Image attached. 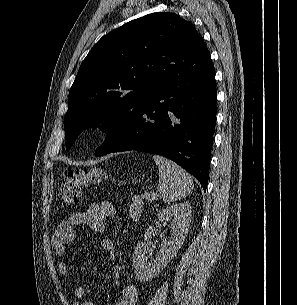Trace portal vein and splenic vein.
I'll return each instance as SVG.
<instances>
[{
  "instance_id": "18ae733b",
  "label": "portal vein and splenic vein",
  "mask_w": 297,
  "mask_h": 305,
  "mask_svg": "<svg viewBox=\"0 0 297 305\" xmlns=\"http://www.w3.org/2000/svg\"><path fill=\"white\" fill-rule=\"evenodd\" d=\"M143 196L147 199V200H154L158 197L157 193L154 192H144Z\"/></svg>"
}]
</instances>
